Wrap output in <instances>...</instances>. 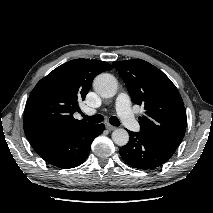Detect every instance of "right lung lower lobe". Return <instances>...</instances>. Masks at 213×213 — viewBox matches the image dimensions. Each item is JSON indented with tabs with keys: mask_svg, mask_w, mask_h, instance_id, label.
<instances>
[{
	"mask_svg": "<svg viewBox=\"0 0 213 213\" xmlns=\"http://www.w3.org/2000/svg\"><path fill=\"white\" fill-rule=\"evenodd\" d=\"M104 129V124L91 123L61 138L33 137L28 140L46 162L68 169L79 166L87 159L91 143Z\"/></svg>",
	"mask_w": 213,
	"mask_h": 213,
	"instance_id": "obj_1",
	"label": "right lung lower lobe"
}]
</instances>
